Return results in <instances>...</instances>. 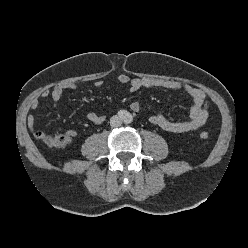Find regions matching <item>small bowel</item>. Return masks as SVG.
<instances>
[{
	"mask_svg": "<svg viewBox=\"0 0 248 248\" xmlns=\"http://www.w3.org/2000/svg\"><path fill=\"white\" fill-rule=\"evenodd\" d=\"M118 83L122 85H129L132 92H137L141 89L152 88H164L172 91H180L187 94L192 99V106L189 113V119L185 121H172L166 118L162 113H155L149 117V121L161 128L164 131L172 133H183L189 131H195L203 127L209 116V102L205 93L194 86L180 83L173 80L164 79H151V78H133L131 79L127 75H119L117 78ZM97 87L102 88L104 83L98 81L95 83ZM77 90V85L73 82H62L55 85L51 90H45L42 92V98H51L53 106L56 107L65 91ZM39 101L35 100L31 104L32 109H37ZM130 109L134 112H138L141 109V104L138 101H133L130 104ZM88 121L94 124H101L104 122L106 116L95 112H88L86 114ZM27 124L31 132L36 138L41 139L44 132L40 131L36 127V120L33 115H29L27 118ZM77 132L73 129L67 131L68 137H75Z\"/></svg>",
	"mask_w": 248,
	"mask_h": 248,
	"instance_id": "small-bowel-1",
	"label": "small bowel"
}]
</instances>
